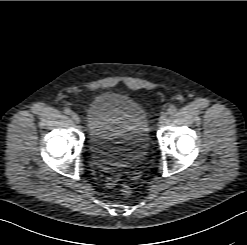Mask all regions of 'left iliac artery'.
I'll return each instance as SVG.
<instances>
[{
	"label": "left iliac artery",
	"instance_id": "44dca946",
	"mask_svg": "<svg viewBox=\"0 0 247 245\" xmlns=\"http://www.w3.org/2000/svg\"><path fill=\"white\" fill-rule=\"evenodd\" d=\"M177 111L176 106H170L168 109V114L172 115Z\"/></svg>",
	"mask_w": 247,
	"mask_h": 245
}]
</instances>
